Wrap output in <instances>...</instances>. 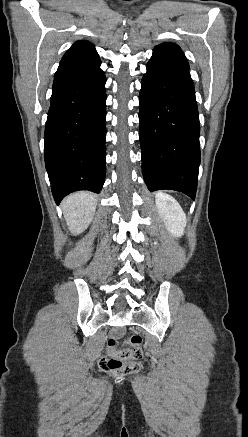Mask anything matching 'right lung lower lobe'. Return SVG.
Returning a JSON list of instances; mask_svg holds the SVG:
<instances>
[{"label": "right lung lower lobe", "instance_id": "1", "mask_svg": "<svg viewBox=\"0 0 248 437\" xmlns=\"http://www.w3.org/2000/svg\"><path fill=\"white\" fill-rule=\"evenodd\" d=\"M99 56L61 61L45 127L44 158L57 204L69 193H99L105 181L106 77Z\"/></svg>", "mask_w": 248, "mask_h": 437}]
</instances>
